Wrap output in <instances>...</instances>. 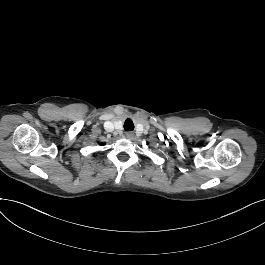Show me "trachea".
<instances>
[{
  "instance_id": "trachea-1",
  "label": "trachea",
  "mask_w": 265,
  "mask_h": 265,
  "mask_svg": "<svg viewBox=\"0 0 265 265\" xmlns=\"http://www.w3.org/2000/svg\"><path fill=\"white\" fill-rule=\"evenodd\" d=\"M134 129V124L130 119H127L124 123V130L125 131H132Z\"/></svg>"
}]
</instances>
